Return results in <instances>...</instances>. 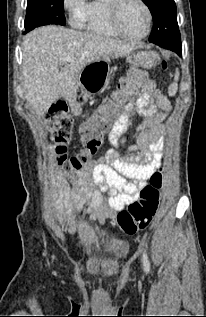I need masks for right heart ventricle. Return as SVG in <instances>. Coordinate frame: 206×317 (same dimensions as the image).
Here are the masks:
<instances>
[{
	"label": "right heart ventricle",
	"instance_id": "1",
	"mask_svg": "<svg viewBox=\"0 0 206 317\" xmlns=\"http://www.w3.org/2000/svg\"><path fill=\"white\" fill-rule=\"evenodd\" d=\"M107 2V0H91L87 3L86 14L81 25L87 32L117 36L109 22Z\"/></svg>",
	"mask_w": 206,
	"mask_h": 317
}]
</instances>
